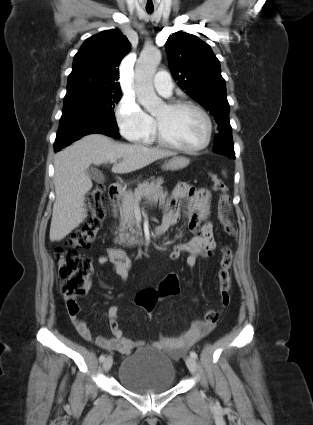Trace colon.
<instances>
[{"mask_svg":"<svg viewBox=\"0 0 313 425\" xmlns=\"http://www.w3.org/2000/svg\"><path fill=\"white\" fill-rule=\"evenodd\" d=\"M213 188L219 193L218 217L224 231L232 236L235 233L233 223L230 219V196L224 181L216 174L210 173ZM104 187L97 185L90 194L91 215L85 224L76 230L64 246L56 249L58 272L62 280L61 291L68 305L75 309L76 299L83 296L87 291L88 281L92 274V264L88 257L82 255L79 250L87 248L96 239L103 219L105 210L103 204ZM213 248L204 251L205 257L212 256ZM221 259L219 262L218 282L220 291L221 308L229 305L231 300V276L230 268L233 255L228 245L220 248ZM181 284L175 274L168 275L157 288L141 291L136 296V304L146 313L150 314L156 303L166 297L175 296L180 293ZM220 311L209 310L204 317V322L214 327L220 318Z\"/></svg>","mask_w":313,"mask_h":425,"instance_id":"obj_1","label":"colon"}]
</instances>
